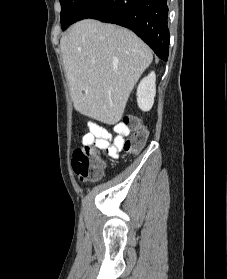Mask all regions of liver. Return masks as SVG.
I'll return each instance as SVG.
<instances>
[{
    "label": "liver",
    "instance_id": "6515ba94",
    "mask_svg": "<svg viewBox=\"0 0 227 279\" xmlns=\"http://www.w3.org/2000/svg\"><path fill=\"white\" fill-rule=\"evenodd\" d=\"M60 48L75 109L105 124L120 121L151 49L132 31L94 19L75 23Z\"/></svg>",
    "mask_w": 227,
    "mask_h": 279
}]
</instances>
